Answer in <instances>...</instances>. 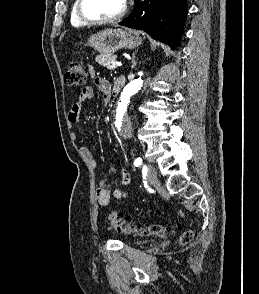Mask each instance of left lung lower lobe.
Instances as JSON below:
<instances>
[{"instance_id": "1", "label": "left lung lower lobe", "mask_w": 259, "mask_h": 294, "mask_svg": "<svg viewBox=\"0 0 259 294\" xmlns=\"http://www.w3.org/2000/svg\"><path fill=\"white\" fill-rule=\"evenodd\" d=\"M187 14V0H135V9L119 24L141 29L154 39L178 46Z\"/></svg>"}]
</instances>
